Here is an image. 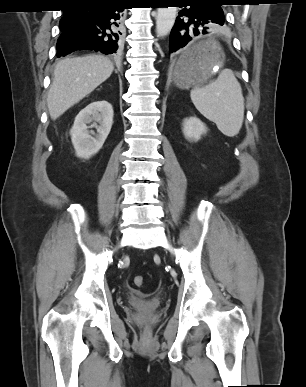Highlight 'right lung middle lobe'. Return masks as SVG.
I'll list each match as a JSON object with an SVG mask.
<instances>
[{"label": "right lung middle lobe", "instance_id": "obj_1", "mask_svg": "<svg viewBox=\"0 0 306 387\" xmlns=\"http://www.w3.org/2000/svg\"><path fill=\"white\" fill-rule=\"evenodd\" d=\"M78 22L77 17L75 14L70 13L69 16H63V18L60 21V28H66L69 26H72Z\"/></svg>", "mask_w": 306, "mask_h": 387}]
</instances>
